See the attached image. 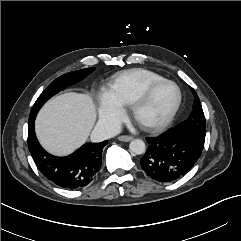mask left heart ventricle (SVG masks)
I'll return each instance as SVG.
<instances>
[{"mask_svg": "<svg viewBox=\"0 0 241 241\" xmlns=\"http://www.w3.org/2000/svg\"><path fill=\"white\" fill-rule=\"evenodd\" d=\"M177 100V89L172 84L158 87L138 113L141 121L158 123L164 120L173 109Z\"/></svg>", "mask_w": 241, "mask_h": 241, "instance_id": "obj_1", "label": "left heart ventricle"}]
</instances>
